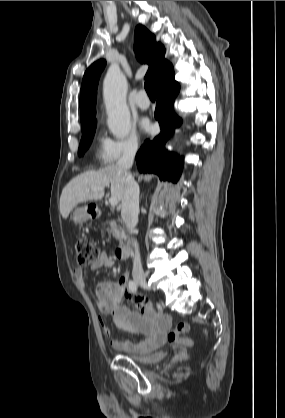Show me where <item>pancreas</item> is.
Masks as SVG:
<instances>
[{"label":"pancreas","mask_w":285,"mask_h":418,"mask_svg":"<svg viewBox=\"0 0 285 418\" xmlns=\"http://www.w3.org/2000/svg\"><path fill=\"white\" fill-rule=\"evenodd\" d=\"M105 225H106V230L109 235H112L119 241L123 240L124 238L123 230L119 225H117L115 220L107 221Z\"/></svg>","instance_id":"cf45deb5"}]
</instances>
